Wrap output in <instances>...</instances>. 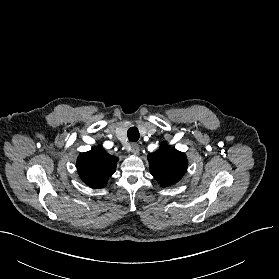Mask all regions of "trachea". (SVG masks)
Here are the masks:
<instances>
[{
  "instance_id": "3493384b",
  "label": "trachea",
  "mask_w": 279,
  "mask_h": 279,
  "mask_svg": "<svg viewBox=\"0 0 279 279\" xmlns=\"http://www.w3.org/2000/svg\"><path fill=\"white\" fill-rule=\"evenodd\" d=\"M127 136L129 141L136 142L138 141L140 134L136 127H131L128 129Z\"/></svg>"
}]
</instances>
